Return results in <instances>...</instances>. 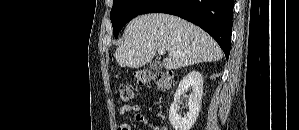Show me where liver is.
I'll use <instances>...</instances> for the list:
<instances>
[{
  "mask_svg": "<svg viewBox=\"0 0 299 130\" xmlns=\"http://www.w3.org/2000/svg\"><path fill=\"white\" fill-rule=\"evenodd\" d=\"M123 39L115 52L121 67L140 68L149 63L159 49L173 53L163 60L167 70L223 57L216 41L204 30L169 14L137 16L127 25Z\"/></svg>",
  "mask_w": 299,
  "mask_h": 130,
  "instance_id": "1",
  "label": "liver"
}]
</instances>
